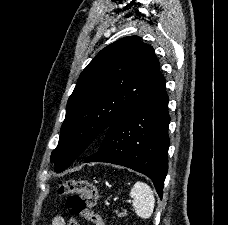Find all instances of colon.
<instances>
[{
  "label": "colon",
  "instance_id": "colon-1",
  "mask_svg": "<svg viewBox=\"0 0 228 225\" xmlns=\"http://www.w3.org/2000/svg\"><path fill=\"white\" fill-rule=\"evenodd\" d=\"M58 195L68 198L69 214L80 216L92 225H105L104 220L94 210L98 191L91 181L85 179L60 181Z\"/></svg>",
  "mask_w": 228,
  "mask_h": 225
}]
</instances>
